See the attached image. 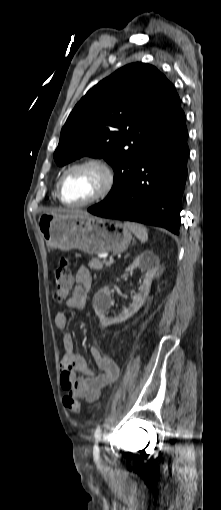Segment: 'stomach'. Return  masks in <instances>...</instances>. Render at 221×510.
Returning a JSON list of instances; mask_svg holds the SVG:
<instances>
[{"instance_id": "1", "label": "stomach", "mask_w": 221, "mask_h": 510, "mask_svg": "<svg viewBox=\"0 0 221 510\" xmlns=\"http://www.w3.org/2000/svg\"><path fill=\"white\" fill-rule=\"evenodd\" d=\"M38 228L49 247L78 249L90 255L122 251L132 239L131 231L120 221L89 214L43 213Z\"/></svg>"}]
</instances>
